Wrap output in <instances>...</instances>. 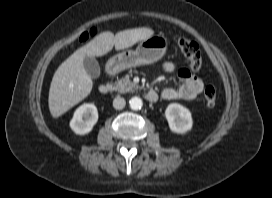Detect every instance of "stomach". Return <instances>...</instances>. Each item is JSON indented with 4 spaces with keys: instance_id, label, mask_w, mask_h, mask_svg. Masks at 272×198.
Segmentation results:
<instances>
[{
    "instance_id": "stomach-1",
    "label": "stomach",
    "mask_w": 272,
    "mask_h": 198,
    "mask_svg": "<svg viewBox=\"0 0 272 198\" xmlns=\"http://www.w3.org/2000/svg\"><path fill=\"white\" fill-rule=\"evenodd\" d=\"M168 40L162 35L143 40L135 50L123 51L111 57L106 64V71L117 74L125 69L140 65H149L160 60L166 53Z\"/></svg>"
}]
</instances>
